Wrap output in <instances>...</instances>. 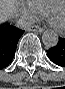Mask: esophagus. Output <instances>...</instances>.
<instances>
[{"label":"esophagus","mask_w":65,"mask_h":89,"mask_svg":"<svg viewBox=\"0 0 65 89\" xmlns=\"http://www.w3.org/2000/svg\"><path fill=\"white\" fill-rule=\"evenodd\" d=\"M28 31H37V32H43L44 28L40 27V26H31L28 28Z\"/></svg>","instance_id":"obj_1"}]
</instances>
